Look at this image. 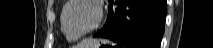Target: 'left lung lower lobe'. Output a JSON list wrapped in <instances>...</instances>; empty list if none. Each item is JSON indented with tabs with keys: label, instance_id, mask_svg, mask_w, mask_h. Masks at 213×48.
Wrapping results in <instances>:
<instances>
[{
	"label": "left lung lower lobe",
	"instance_id": "1",
	"mask_svg": "<svg viewBox=\"0 0 213 48\" xmlns=\"http://www.w3.org/2000/svg\"><path fill=\"white\" fill-rule=\"evenodd\" d=\"M166 10V0H109L106 23L94 36L118 48H159Z\"/></svg>",
	"mask_w": 213,
	"mask_h": 48
}]
</instances>
